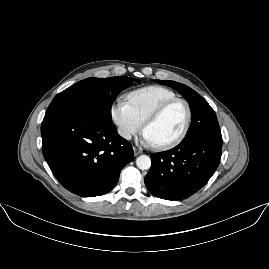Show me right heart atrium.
<instances>
[{
  "instance_id": "right-heart-atrium-1",
  "label": "right heart atrium",
  "mask_w": 269,
  "mask_h": 269,
  "mask_svg": "<svg viewBox=\"0 0 269 269\" xmlns=\"http://www.w3.org/2000/svg\"><path fill=\"white\" fill-rule=\"evenodd\" d=\"M111 117L118 128L119 134L125 138L131 137L141 133L143 124L133 113L130 104L122 97H117L111 106Z\"/></svg>"
}]
</instances>
